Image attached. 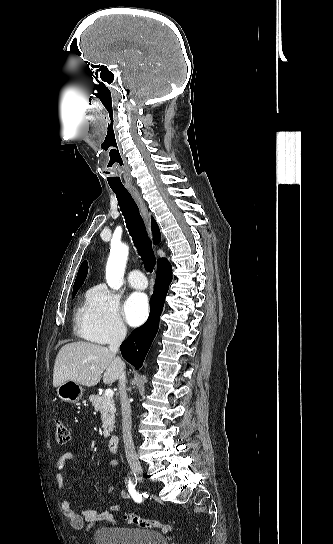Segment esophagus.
Segmentation results:
<instances>
[{
  "instance_id": "obj_1",
  "label": "esophagus",
  "mask_w": 333,
  "mask_h": 544,
  "mask_svg": "<svg viewBox=\"0 0 333 544\" xmlns=\"http://www.w3.org/2000/svg\"><path fill=\"white\" fill-rule=\"evenodd\" d=\"M130 193L132 194L136 204L139 207L140 213H141V215L143 217V220H144V223H145V226H146L147 233L149 234L150 237H152L151 218H150V214L148 212L146 203H145V201L143 200L141 194L139 193V191L136 188H131Z\"/></svg>"
}]
</instances>
